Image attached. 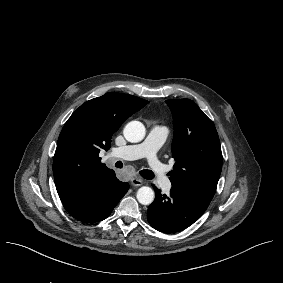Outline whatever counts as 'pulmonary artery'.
Instances as JSON below:
<instances>
[{"mask_svg":"<svg viewBox=\"0 0 283 283\" xmlns=\"http://www.w3.org/2000/svg\"><path fill=\"white\" fill-rule=\"evenodd\" d=\"M168 135L166 127L153 126L150 128L144 141L136 145H128L120 147L117 150V155L120 158L128 160H139L145 157L147 165L152 172L154 180L157 182L160 190L166 191L171 188L172 182L164 173L169 169L162 166L157 158L156 152L162 146Z\"/></svg>","mask_w":283,"mask_h":283,"instance_id":"obj_1","label":"pulmonary artery"}]
</instances>
